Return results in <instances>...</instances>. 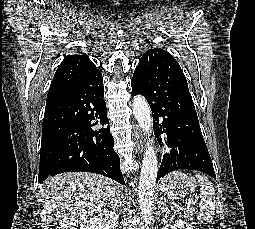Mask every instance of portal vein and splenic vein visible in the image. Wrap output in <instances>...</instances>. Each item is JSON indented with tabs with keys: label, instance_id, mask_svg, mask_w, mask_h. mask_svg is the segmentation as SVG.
Returning <instances> with one entry per match:
<instances>
[{
	"label": "portal vein and splenic vein",
	"instance_id": "1",
	"mask_svg": "<svg viewBox=\"0 0 255 229\" xmlns=\"http://www.w3.org/2000/svg\"><path fill=\"white\" fill-rule=\"evenodd\" d=\"M195 202H196V201H195V200H193V199H192V200H189V201H188V207H190V206L194 205V204H195Z\"/></svg>",
	"mask_w": 255,
	"mask_h": 229
}]
</instances>
